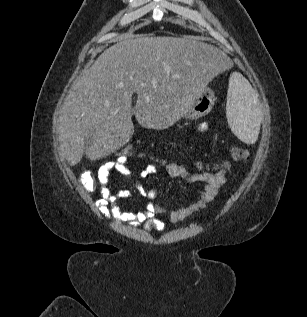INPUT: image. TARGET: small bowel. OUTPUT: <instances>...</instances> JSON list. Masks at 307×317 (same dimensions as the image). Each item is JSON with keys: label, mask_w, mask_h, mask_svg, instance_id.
I'll list each match as a JSON object with an SVG mask.
<instances>
[{"label": "small bowel", "mask_w": 307, "mask_h": 317, "mask_svg": "<svg viewBox=\"0 0 307 317\" xmlns=\"http://www.w3.org/2000/svg\"><path fill=\"white\" fill-rule=\"evenodd\" d=\"M197 129L199 131L206 132L208 130V125L206 123H200ZM163 168L172 178L203 184L202 191L192 202L179 209L169 210L167 208L160 207L154 202L158 196L157 190H146L144 186L135 179L134 174L129 167V162L123 159H116L114 161H106L99 167L97 181L101 197L96 200L95 205L107 218L114 217L122 221H129L135 225L145 222L144 227L146 230H151L153 228L161 230L164 228V223L154 218L156 214L168 213L170 220L173 223H179L191 217L192 215L205 209L215 199L221 186L225 183L226 175L228 174V172L223 170L215 173H190L184 166L177 163H168ZM158 169V165L149 164L141 170L140 176L147 177L155 173ZM112 171L124 175L132 180L137 192L149 200L143 211L126 212L121 210L118 204V199L120 197L127 196L128 193L125 191L112 193L110 189V174Z\"/></svg>", "instance_id": "c3829d8e"}]
</instances>
